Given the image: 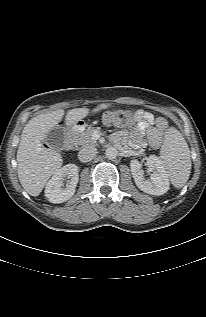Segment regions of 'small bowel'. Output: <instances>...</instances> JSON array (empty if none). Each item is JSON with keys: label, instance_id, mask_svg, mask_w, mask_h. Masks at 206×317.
Wrapping results in <instances>:
<instances>
[{"label": "small bowel", "instance_id": "obj_1", "mask_svg": "<svg viewBox=\"0 0 206 317\" xmlns=\"http://www.w3.org/2000/svg\"><path fill=\"white\" fill-rule=\"evenodd\" d=\"M136 127L130 133L122 131L115 135L119 140H128L134 148H142L146 146L145 136L148 144L152 148H158L161 144L164 132L168 127V122L163 117H155L150 112L137 110L134 113Z\"/></svg>", "mask_w": 206, "mask_h": 317}]
</instances>
